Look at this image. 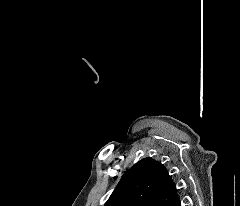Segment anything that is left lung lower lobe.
I'll list each match as a JSON object with an SVG mask.
<instances>
[{"mask_svg":"<svg viewBox=\"0 0 240 206\" xmlns=\"http://www.w3.org/2000/svg\"><path fill=\"white\" fill-rule=\"evenodd\" d=\"M172 206H181V201L179 196L177 197V199L174 201V203L172 204Z\"/></svg>","mask_w":240,"mask_h":206,"instance_id":"1","label":"left lung lower lobe"}]
</instances>
